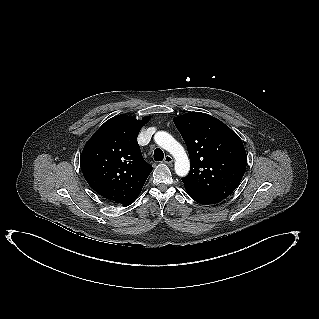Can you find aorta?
I'll list each match as a JSON object with an SVG mask.
<instances>
[{
    "instance_id": "762f6f07",
    "label": "aorta",
    "mask_w": 319,
    "mask_h": 319,
    "mask_svg": "<svg viewBox=\"0 0 319 319\" xmlns=\"http://www.w3.org/2000/svg\"><path fill=\"white\" fill-rule=\"evenodd\" d=\"M154 140L161 148L168 151L175 159V172L178 176L188 175L190 162L184 147L176 141L169 133L159 131L155 134Z\"/></svg>"
}]
</instances>
